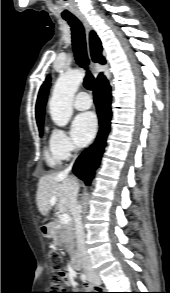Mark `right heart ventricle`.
<instances>
[{
    "label": "right heart ventricle",
    "mask_w": 170,
    "mask_h": 293,
    "mask_svg": "<svg viewBox=\"0 0 170 293\" xmlns=\"http://www.w3.org/2000/svg\"><path fill=\"white\" fill-rule=\"evenodd\" d=\"M44 158L47 165L51 168H56L60 162V158L51 150V148L45 149Z\"/></svg>",
    "instance_id": "obj_1"
}]
</instances>
